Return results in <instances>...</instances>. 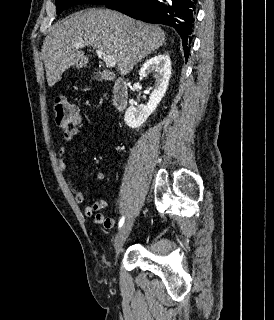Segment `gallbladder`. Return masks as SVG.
<instances>
[{"mask_svg":"<svg viewBox=\"0 0 274 320\" xmlns=\"http://www.w3.org/2000/svg\"><path fill=\"white\" fill-rule=\"evenodd\" d=\"M93 73L95 75H97V77H96L97 82H106L107 79H113L114 78V73L113 72H100V70L98 68H95L93 70Z\"/></svg>","mask_w":274,"mask_h":320,"instance_id":"1","label":"gallbladder"}]
</instances>
